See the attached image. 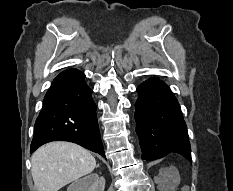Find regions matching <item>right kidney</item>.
I'll return each instance as SVG.
<instances>
[{
  "instance_id": "1",
  "label": "right kidney",
  "mask_w": 233,
  "mask_h": 191,
  "mask_svg": "<svg viewBox=\"0 0 233 191\" xmlns=\"http://www.w3.org/2000/svg\"><path fill=\"white\" fill-rule=\"evenodd\" d=\"M105 179L92 173L73 182L67 191H104Z\"/></svg>"
}]
</instances>
